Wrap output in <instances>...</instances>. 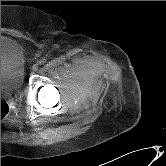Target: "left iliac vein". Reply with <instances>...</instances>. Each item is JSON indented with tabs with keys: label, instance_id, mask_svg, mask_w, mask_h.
<instances>
[{
	"label": "left iliac vein",
	"instance_id": "left-iliac-vein-1",
	"mask_svg": "<svg viewBox=\"0 0 166 166\" xmlns=\"http://www.w3.org/2000/svg\"><path fill=\"white\" fill-rule=\"evenodd\" d=\"M32 69H33V71H37L38 70V64H34Z\"/></svg>",
	"mask_w": 166,
	"mask_h": 166
}]
</instances>
